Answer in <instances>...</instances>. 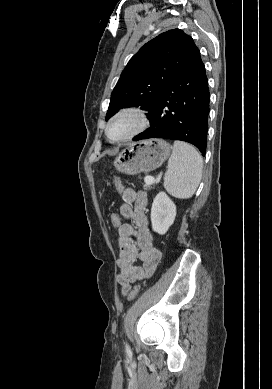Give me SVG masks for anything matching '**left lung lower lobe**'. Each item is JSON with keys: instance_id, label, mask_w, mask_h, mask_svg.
<instances>
[{"instance_id": "obj_1", "label": "left lung lower lobe", "mask_w": 272, "mask_h": 389, "mask_svg": "<svg viewBox=\"0 0 272 389\" xmlns=\"http://www.w3.org/2000/svg\"><path fill=\"white\" fill-rule=\"evenodd\" d=\"M210 93L198 52L165 87L148 119L151 127L133 140L164 138L195 145L205 155Z\"/></svg>"}]
</instances>
